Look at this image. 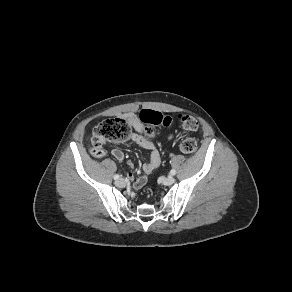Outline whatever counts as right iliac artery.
Returning <instances> with one entry per match:
<instances>
[{"label": "right iliac artery", "mask_w": 292, "mask_h": 292, "mask_svg": "<svg viewBox=\"0 0 292 292\" xmlns=\"http://www.w3.org/2000/svg\"><path fill=\"white\" fill-rule=\"evenodd\" d=\"M119 177H120V176H119L118 174H116V175H114L113 178H114V180H117V179H119Z\"/></svg>", "instance_id": "obj_1"}]
</instances>
